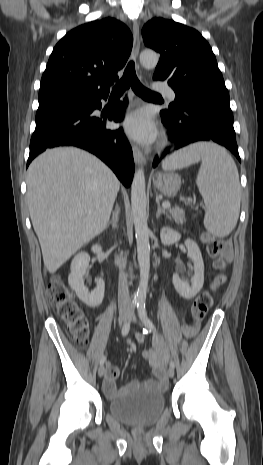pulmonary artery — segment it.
Listing matches in <instances>:
<instances>
[{
  "label": "pulmonary artery",
  "mask_w": 263,
  "mask_h": 465,
  "mask_svg": "<svg viewBox=\"0 0 263 465\" xmlns=\"http://www.w3.org/2000/svg\"><path fill=\"white\" fill-rule=\"evenodd\" d=\"M155 89L164 93L170 100H174L176 97L174 90L167 85H156Z\"/></svg>",
  "instance_id": "obj_1"
}]
</instances>
